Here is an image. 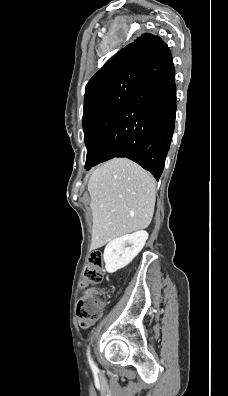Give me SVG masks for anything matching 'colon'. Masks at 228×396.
Segmentation results:
<instances>
[{"instance_id":"5ec220e1","label":"colon","mask_w":228,"mask_h":396,"mask_svg":"<svg viewBox=\"0 0 228 396\" xmlns=\"http://www.w3.org/2000/svg\"><path fill=\"white\" fill-rule=\"evenodd\" d=\"M104 272L103 255L99 251L90 254L88 262L81 276L82 287L95 285L101 282ZM106 304L105 296L94 289L88 290L79 300L77 305V317L83 327L95 323L101 316Z\"/></svg>"}]
</instances>
